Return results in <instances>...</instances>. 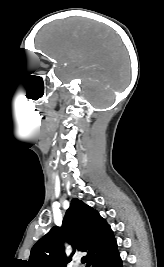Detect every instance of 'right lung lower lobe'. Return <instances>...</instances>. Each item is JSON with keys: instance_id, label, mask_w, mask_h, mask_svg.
Masks as SVG:
<instances>
[{"instance_id": "obj_1", "label": "right lung lower lobe", "mask_w": 164, "mask_h": 267, "mask_svg": "<svg viewBox=\"0 0 164 267\" xmlns=\"http://www.w3.org/2000/svg\"><path fill=\"white\" fill-rule=\"evenodd\" d=\"M89 267H122L117 247L94 259Z\"/></svg>"}]
</instances>
